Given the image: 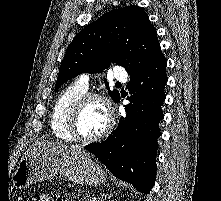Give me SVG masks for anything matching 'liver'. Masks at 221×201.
Here are the masks:
<instances>
[{
    "label": "liver",
    "mask_w": 221,
    "mask_h": 201,
    "mask_svg": "<svg viewBox=\"0 0 221 201\" xmlns=\"http://www.w3.org/2000/svg\"><path fill=\"white\" fill-rule=\"evenodd\" d=\"M49 154L56 156H67L72 154H87L81 146L77 145H66L61 142H39L34 144L30 151L28 152V156L32 154Z\"/></svg>",
    "instance_id": "obj_1"
}]
</instances>
